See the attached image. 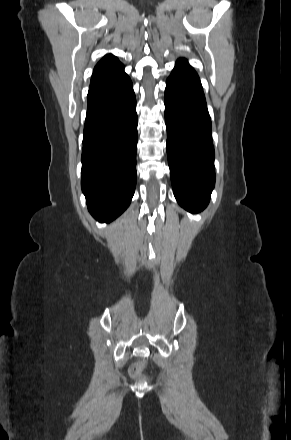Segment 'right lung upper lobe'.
Wrapping results in <instances>:
<instances>
[{
  "label": "right lung upper lobe",
  "mask_w": 291,
  "mask_h": 440,
  "mask_svg": "<svg viewBox=\"0 0 291 440\" xmlns=\"http://www.w3.org/2000/svg\"><path fill=\"white\" fill-rule=\"evenodd\" d=\"M123 64L113 55L108 54L104 56L95 66L94 73L95 72H101V71H107L112 70L115 68H118L122 66Z\"/></svg>",
  "instance_id": "cb5924a9"
}]
</instances>
